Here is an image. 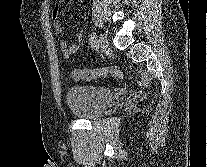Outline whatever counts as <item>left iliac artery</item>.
<instances>
[{"mask_svg": "<svg viewBox=\"0 0 207 167\" xmlns=\"http://www.w3.org/2000/svg\"><path fill=\"white\" fill-rule=\"evenodd\" d=\"M96 42H97V35L95 32H92L90 37V43L91 45H94Z\"/></svg>", "mask_w": 207, "mask_h": 167, "instance_id": "obj_1", "label": "left iliac artery"}]
</instances>
